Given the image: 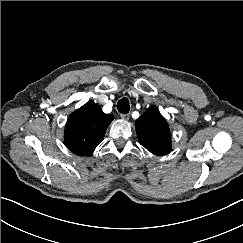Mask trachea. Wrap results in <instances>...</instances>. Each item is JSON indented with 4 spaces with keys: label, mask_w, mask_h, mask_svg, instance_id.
<instances>
[{
    "label": "trachea",
    "mask_w": 243,
    "mask_h": 243,
    "mask_svg": "<svg viewBox=\"0 0 243 243\" xmlns=\"http://www.w3.org/2000/svg\"><path fill=\"white\" fill-rule=\"evenodd\" d=\"M117 109L120 113L127 114L130 110L129 101L127 98H122L117 103Z\"/></svg>",
    "instance_id": "trachea-1"
}]
</instances>
